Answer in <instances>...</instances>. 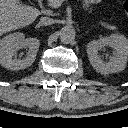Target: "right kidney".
<instances>
[{"label":"right kidney","mask_w":128,"mask_h":128,"mask_svg":"<svg viewBox=\"0 0 128 128\" xmlns=\"http://www.w3.org/2000/svg\"><path fill=\"white\" fill-rule=\"evenodd\" d=\"M40 42L37 38H26L21 32L11 33L0 39V64L11 70L25 69L33 64L39 49ZM28 47L26 58H14L16 52Z\"/></svg>","instance_id":"right-kidney-1"}]
</instances>
